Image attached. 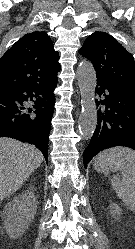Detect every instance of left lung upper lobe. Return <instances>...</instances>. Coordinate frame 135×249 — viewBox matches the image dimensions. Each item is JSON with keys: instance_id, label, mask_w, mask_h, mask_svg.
<instances>
[{"instance_id": "obj_1", "label": "left lung upper lobe", "mask_w": 135, "mask_h": 249, "mask_svg": "<svg viewBox=\"0 0 135 249\" xmlns=\"http://www.w3.org/2000/svg\"><path fill=\"white\" fill-rule=\"evenodd\" d=\"M79 53L92 62L97 81L135 91L134 58L113 36L95 32L86 38Z\"/></svg>"}]
</instances>
